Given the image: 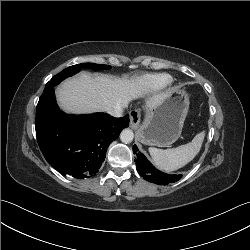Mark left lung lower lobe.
I'll use <instances>...</instances> for the list:
<instances>
[{"instance_id":"1","label":"left lung lower lobe","mask_w":250,"mask_h":250,"mask_svg":"<svg viewBox=\"0 0 250 250\" xmlns=\"http://www.w3.org/2000/svg\"><path fill=\"white\" fill-rule=\"evenodd\" d=\"M133 153L136 154L135 162L137 171L145 180L158 185H167L168 183L176 182L181 178V175H169L157 170L145 155L138 151L136 145L133 146Z\"/></svg>"}]
</instances>
